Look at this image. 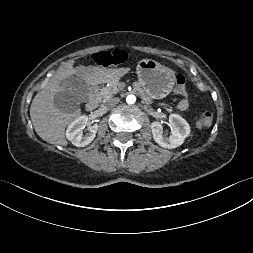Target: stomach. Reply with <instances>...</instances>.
Here are the masks:
<instances>
[{
    "instance_id": "1",
    "label": "stomach",
    "mask_w": 253,
    "mask_h": 253,
    "mask_svg": "<svg viewBox=\"0 0 253 253\" xmlns=\"http://www.w3.org/2000/svg\"><path fill=\"white\" fill-rule=\"evenodd\" d=\"M138 83L146 95L162 99L169 95L175 85V72L153 59H142L136 67Z\"/></svg>"
}]
</instances>
